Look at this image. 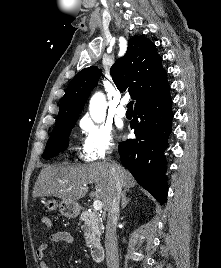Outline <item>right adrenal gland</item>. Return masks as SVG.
Listing matches in <instances>:
<instances>
[{"instance_id":"obj_1","label":"right adrenal gland","mask_w":221,"mask_h":268,"mask_svg":"<svg viewBox=\"0 0 221 268\" xmlns=\"http://www.w3.org/2000/svg\"><path fill=\"white\" fill-rule=\"evenodd\" d=\"M127 194V190H124L122 192V198H121V208L124 209L126 207V205L128 204V202L131 200V198H127L126 197Z\"/></svg>"}]
</instances>
